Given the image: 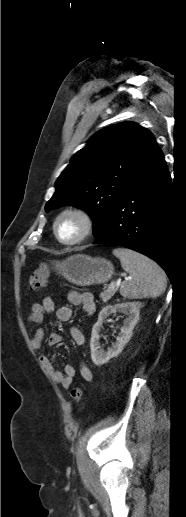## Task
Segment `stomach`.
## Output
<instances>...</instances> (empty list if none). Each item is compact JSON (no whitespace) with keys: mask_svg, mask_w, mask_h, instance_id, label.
Wrapping results in <instances>:
<instances>
[{"mask_svg":"<svg viewBox=\"0 0 186 517\" xmlns=\"http://www.w3.org/2000/svg\"><path fill=\"white\" fill-rule=\"evenodd\" d=\"M52 264L59 275L78 286L106 283L114 274V267L110 261L84 254H76Z\"/></svg>","mask_w":186,"mask_h":517,"instance_id":"0dacf381","label":"stomach"}]
</instances>
